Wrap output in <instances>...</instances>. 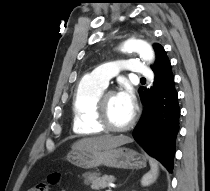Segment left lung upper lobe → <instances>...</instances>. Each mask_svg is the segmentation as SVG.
<instances>
[{"instance_id":"obj_1","label":"left lung upper lobe","mask_w":210,"mask_h":191,"mask_svg":"<svg viewBox=\"0 0 210 191\" xmlns=\"http://www.w3.org/2000/svg\"><path fill=\"white\" fill-rule=\"evenodd\" d=\"M153 47L156 53V57L158 56L160 52L165 51L164 48L160 44H154Z\"/></svg>"}]
</instances>
